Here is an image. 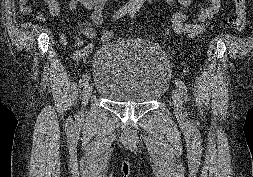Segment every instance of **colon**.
<instances>
[{
	"instance_id": "5ec220e1",
	"label": "colon",
	"mask_w": 253,
	"mask_h": 177,
	"mask_svg": "<svg viewBox=\"0 0 253 177\" xmlns=\"http://www.w3.org/2000/svg\"><path fill=\"white\" fill-rule=\"evenodd\" d=\"M234 15L231 21V27L236 32H242L247 24V6L246 0H233ZM113 9H109L104 14V24L101 34V41L104 44L111 42L114 39V28L111 25Z\"/></svg>"
}]
</instances>
